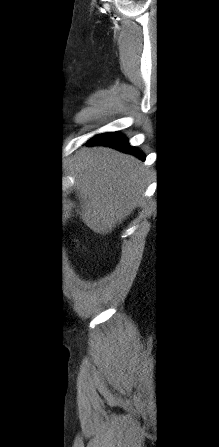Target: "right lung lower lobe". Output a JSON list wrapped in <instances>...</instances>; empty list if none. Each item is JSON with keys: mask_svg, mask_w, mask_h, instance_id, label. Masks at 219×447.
<instances>
[{"mask_svg": "<svg viewBox=\"0 0 219 447\" xmlns=\"http://www.w3.org/2000/svg\"><path fill=\"white\" fill-rule=\"evenodd\" d=\"M86 145L87 146L106 145L113 147L117 150H120L122 152L135 155L136 157L142 160L145 159L144 154L141 153V151L137 150L135 147H131L128 143V140L118 132L97 135L94 138L90 139L86 143Z\"/></svg>", "mask_w": 219, "mask_h": 447, "instance_id": "obj_1", "label": "right lung lower lobe"}]
</instances>
